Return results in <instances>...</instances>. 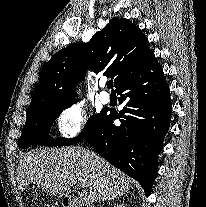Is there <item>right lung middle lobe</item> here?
I'll return each instance as SVG.
<instances>
[{
  "label": "right lung middle lobe",
  "instance_id": "obj_1",
  "mask_svg": "<svg viewBox=\"0 0 206 207\" xmlns=\"http://www.w3.org/2000/svg\"><path fill=\"white\" fill-rule=\"evenodd\" d=\"M78 100L50 103L39 106L26 113V124L24 126L20 141V148H27L33 144H42L45 146H67L75 144L89 136L97 127L98 123L106 114L102 111L99 114L90 117L82 132L73 139L59 138L53 140L49 135L54 120L60 113Z\"/></svg>",
  "mask_w": 206,
  "mask_h": 207
}]
</instances>
